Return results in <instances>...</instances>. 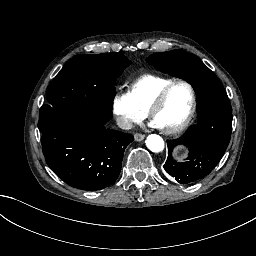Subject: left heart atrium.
Returning a JSON list of instances; mask_svg holds the SVG:
<instances>
[{
	"mask_svg": "<svg viewBox=\"0 0 256 256\" xmlns=\"http://www.w3.org/2000/svg\"><path fill=\"white\" fill-rule=\"evenodd\" d=\"M150 126L158 130H163V124L154 118L151 119Z\"/></svg>",
	"mask_w": 256,
	"mask_h": 256,
	"instance_id": "39dd6f15",
	"label": "left heart atrium"
}]
</instances>
